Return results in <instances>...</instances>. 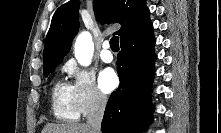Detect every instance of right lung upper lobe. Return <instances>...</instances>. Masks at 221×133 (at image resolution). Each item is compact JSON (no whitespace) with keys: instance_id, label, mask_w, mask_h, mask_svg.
<instances>
[{"instance_id":"right-lung-upper-lobe-1","label":"right lung upper lobe","mask_w":221,"mask_h":133,"mask_svg":"<svg viewBox=\"0 0 221 133\" xmlns=\"http://www.w3.org/2000/svg\"><path fill=\"white\" fill-rule=\"evenodd\" d=\"M78 9L79 1L72 0L60 6L54 13L45 40L43 67L60 63L68 53L78 32ZM94 12L100 23L121 24L120 30L116 32L121 37V42L153 30L146 0H94Z\"/></svg>"}]
</instances>
